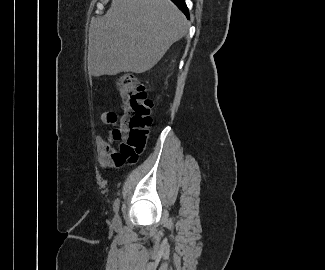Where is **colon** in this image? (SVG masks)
<instances>
[{
  "mask_svg": "<svg viewBox=\"0 0 325 270\" xmlns=\"http://www.w3.org/2000/svg\"><path fill=\"white\" fill-rule=\"evenodd\" d=\"M116 84L123 114L112 131L111 138L120 143L121 154L134 164L146 145L152 124L153 102L148 97L145 86L132 73L120 75Z\"/></svg>",
  "mask_w": 325,
  "mask_h": 270,
  "instance_id": "colon-1",
  "label": "colon"
}]
</instances>
